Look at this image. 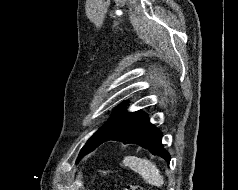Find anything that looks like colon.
<instances>
[{
    "label": "colon",
    "mask_w": 238,
    "mask_h": 190,
    "mask_svg": "<svg viewBox=\"0 0 238 190\" xmlns=\"http://www.w3.org/2000/svg\"><path fill=\"white\" fill-rule=\"evenodd\" d=\"M125 190H143L140 186L137 185H128Z\"/></svg>",
    "instance_id": "1"
}]
</instances>
